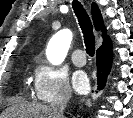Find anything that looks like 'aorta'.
<instances>
[{
  "label": "aorta",
  "mask_w": 133,
  "mask_h": 118,
  "mask_svg": "<svg viewBox=\"0 0 133 118\" xmlns=\"http://www.w3.org/2000/svg\"><path fill=\"white\" fill-rule=\"evenodd\" d=\"M72 37V32L69 29H63L54 35L52 48L47 53L48 60L52 64L59 65L64 61L70 48Z\"/></svg>",
  "instance_id": "aorta-1"
}]
</instances>
